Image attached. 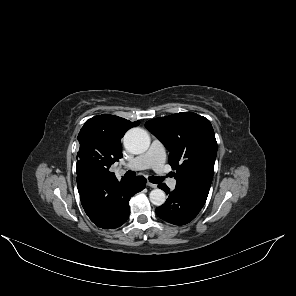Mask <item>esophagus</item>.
Here are the masks:
<instances>
[{
	"label": "esophagus",
	"mask_w": 296,
	"mask_h": 296,
	"mask_svg": "<svg viewBox=\"0 0 296 296\" xmlns=\"http://www.w3.org/2000/svg\"><path fill=\"white\" fill-rule=\"evenodd\" d=\"M147 185L151 188H157L156 184L151 183L150 181H147Z\"/></svg>",
	"instance_id": "obj_1"
}]
</instances>
